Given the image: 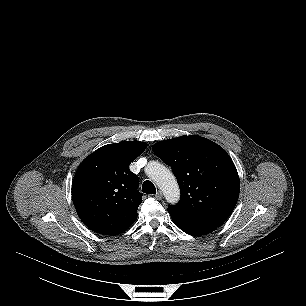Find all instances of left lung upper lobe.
<instances>
[{"label": "left lung upper lobe", "instance_id": "1", "mask_svg": "<svg viewBox=\"0 0 306 306\" xmlns=\"http://www.w3.org/2000/svg\"><path fill=\"white\" fill-rule=\"evenodd\" d=\"M153 152L171 166L181 199L169 206L177 219L217 228L232 213L240 191L236 167L218 144L200 136H181L158 142Z\"/></svg>", "mask_w": 306, "mask_h": 306}]
</instances>
